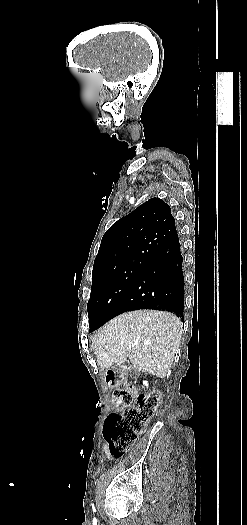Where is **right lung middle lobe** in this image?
I'll use <instances>...</instances> for the list:
<instances>
[{"label":"right lung middle lobe","instance_id":"1","mask_svg":"<svg viewBox=\"0 0 247 525\" xmlns=\"http://www.w3.org/2000/svg\"><path fill=\"white\" fill-rule=\"evenodd\" d=\"M148 262V257L111 271L93 272L91 295L87 304L90 329L100 327L116 316V310Z\"/></svg>","mask_w":247,"mask_h":525}]
</instances>
